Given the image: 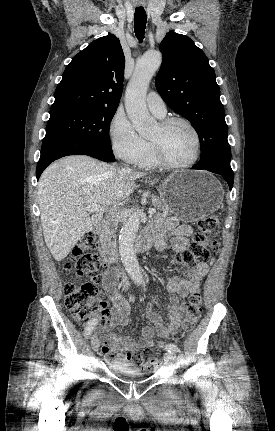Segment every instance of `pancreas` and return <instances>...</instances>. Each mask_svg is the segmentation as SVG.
<instances>
[{"label":"pancreas","instance_id":"obj_1","mask_svg":"<svg viewBox=\"0 0 275 431\" xmlns=\"http://www.w3.org/2000/svg\"><path fill=\"white\" fill-rule=\"evenodd\" d=\"M152 202H153V206L157 210L162 211L163 214H165V215L169 214L170 209H169V207L166 205V203L162 199H160V198H158L156 196H153L152 197ZM157 215H161V213H158ZM104 236L108 238L109 237V233H106Z\"/></svg>","mask_w":275,"mask_h":431}]
</instances>
